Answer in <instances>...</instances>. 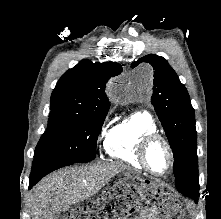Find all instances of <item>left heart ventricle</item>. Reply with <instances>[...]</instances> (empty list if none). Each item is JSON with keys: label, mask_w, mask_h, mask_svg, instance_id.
<instances>
[{"label": "left heart ventricle", "mask_w": 221, "mask_h": 219, "mask_svg": "<svg viewBox=\"0 0 221 219\" xmlns=\"http://www.w3.org/2000/svg\"><path fill=\"white\" fill-rule=\"evenodd\" d=\"M148 163L157 173H164L169 165L167 151L162 143H155L150 146L147 152Z\"/></svg>", "instance_id": "left-heart-ventricle-1"}]
</instances>
